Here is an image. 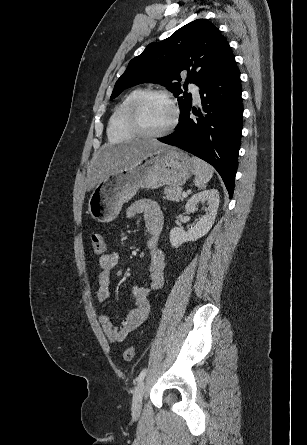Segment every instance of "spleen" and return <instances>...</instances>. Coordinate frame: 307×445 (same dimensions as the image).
Masks as SVG:
<instances>
[{
	"label": "spleen",
	"instance_id": "1",
	"mask_svg": "<svg viewBox=\"0 0 307 445\" xmlns=\"http://www.w3.org/2000/svg\"><path fill=\"white\" fill-rule=\"evenodd\" d=\"M193 162V172L195 174L194 182L195 186L198 188H203L206 186L207 182H209L210 178L213 176L214 168L201 160V158H197V156H192Z\"/></svg>",
	"mask_w": 307,
	"mask_h": 445
}]
</instances>
